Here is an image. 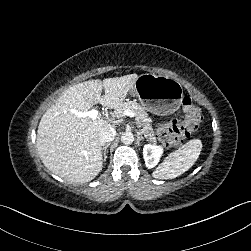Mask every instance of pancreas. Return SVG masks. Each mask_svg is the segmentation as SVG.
I'll list each match as a JSON object with an SVG mask.
<instances>
[{
    "instance_id": "cf45deb5",
    "label": "pancreas",
    "mask_w": 251,
    "mask_h": 251,
    "mask_svg": "<svg viewBox=\"0 0 251 251\" xmlns=\"http://www.w3.org/2000/svg\"><path fill=\"white\" fill-rule=\"evenodd\" d=\"M118 111H123L125 109L131 110L134 113L137 125L142 128V133L150 142H156L154 132L151 130V119L149 115L143 110V107L140 106L136 100H124L123 102L118 103L115 107Z\"/></svg>"
}]
</instances>
